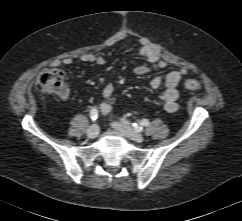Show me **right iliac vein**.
<instances>
[{
  "label": "right iliac vein",
  "mask_w": 242,
  "mask_h": 221,
  "mask_svg": "<svg viewBox=\"0 0 242 221\" xmlns=\"http://www.w3.org/2000/svg\"><path fill=\"white\" fill-rule=\"evenodd\" d=\"M99 133V128H98V125L96 124H93L92 126H90L87 130V135L89 138H96L97 135Z\"/></svg>",
  "instance_id": "63e3f726"
}]
</instances>
